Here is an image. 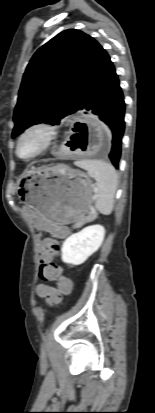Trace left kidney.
Instances as JSON below:
<instances>
[{"label":"left kidney","mask_w":155,"mask_h":413,"mask_svg":"<svg viewBox=\"0 0 155 413\" xmlns=\"http://www.w3.org/2000/svg\"><path fill=\"white\" fill-rule=\"evenodd\" d=\"M105 229L101 225L87 226L69 236L62 245V261L67 264L84 263L101 246Z\"/></svg>","instance_id":"5707ae66"}]
</instances>
